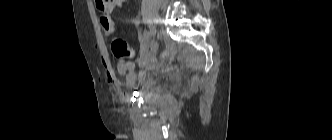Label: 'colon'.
Masks as SVG:
<instances>
[{
	"mask_svg": "<svg viewBox=\"0 0 332 140\" xmlns=\"http://www.w3.org/2000/svg\"><path fill=\"white\" fill-rule=\"evenodd\" d=\"M123 0H95L96 7L104 12L100 17V25L103 32L110 35L114 32V21L111 16L105 12L109 7L119 6ZM111 51L117 58H128L132 55L130 46L120 38H114L111 43Z\"/></svg>",
	"mask_w": 332,
	"mask_h": 140,
	"instance_id": "5ec220e1",
	"label": "colon"
}]
</instances>
